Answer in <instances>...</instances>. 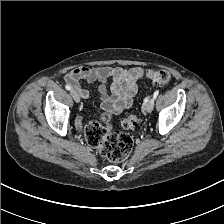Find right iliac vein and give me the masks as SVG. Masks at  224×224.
<instances>
[{
	"mask_svg": "<svg viewBox=\"0 0 224 224\" xmlns=\"http://www.w3.org/2000/svg\"><path fill=\"white\" fill-rule=\"evenodd\" d=\"M71 95H72V97H73V99H74V101H75L76 103H79V102H80V95L78 94L77 91L72 90V91H71Z\"/></svg>",
	"mask_w": 224,
	"mask_h": 224,
	"instance_id": "right-iliac-vein-1",
	"label": "right iliac vein"
}]
</instances>
